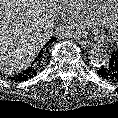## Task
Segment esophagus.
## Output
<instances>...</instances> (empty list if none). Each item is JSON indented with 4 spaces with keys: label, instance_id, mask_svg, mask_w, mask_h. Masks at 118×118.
<instances>
[{
    "label": "esophagus",
    "instance_id": "34e87169",
    "mask_svg": "<svg viewBox=\"0 0 118 118\" xmlns=\"http://www.w3.org/2000/svg\"><path fill=\"white\" fill-rule=\"evenodd\" d=\"M79 43H80L81 45H83V47H85V48H92V47H94L93 43L90 42V41H83V40H80Z\"/></svg>",
    "mask_w": 118,
    "mask_h": 118
}]
</instances>
